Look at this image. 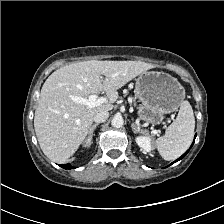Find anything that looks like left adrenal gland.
<instances>
[{"instance_id": "1", "label": "left adrenal gland", "mask_w": 224, "mask_h": 224, "mask_svg": "<svg viewBox=\"0 0 224 224\" xmlns=\"http://www.w3.org/2000/svg\"><path fill=\"white\" fill-rule=\"evenodd\" d=\"M131 127H132V130H133L134 133H138V132H140V133H146L145 130L141 129V128H140L138 125H136L134 122H132Z\"/></svg>"}]
</instances>
